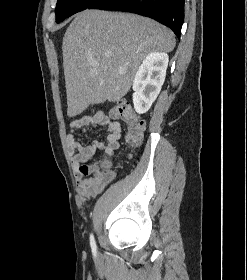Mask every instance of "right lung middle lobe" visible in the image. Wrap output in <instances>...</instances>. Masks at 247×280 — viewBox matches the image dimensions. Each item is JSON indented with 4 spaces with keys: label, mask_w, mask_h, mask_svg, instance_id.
Here are the masks:
<instances>
[{
    "label": "right lung middle lobe",
    "mask_w": 247,
    "mask_h": 280,
    "mask_svg": "<svg viewBox=\"0 0 247 280\" xmlns=\"http://www.w3.org/2000/svg\"><path fill=\"white\" fill-rule=\"evenodd\" d=\"M98 0H58L56 5V22L60 23L67 17L89 8Z\"/></svg>",
    "instance_id": "dd1d6c3e"
}]
</instances>
